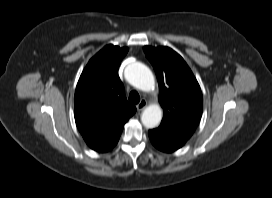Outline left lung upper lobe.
Listing matches in <instances>:
<instances>
[{"label":"left lung upper lobe","mask_w":272,"mask_h":198,"mask_svg":"<svg viewBox=\"0 0 272 198\" xmlns=\"http://www.w3.org/2000/svg\"><path fill=\"white\" fill-rule=\"evenodd\" d=\"M159 84L162 124L193 134L203 110L200 86L184 59L168 47H144Z\"/></svg>","instance_id":"obj_1"}]
</instances>
